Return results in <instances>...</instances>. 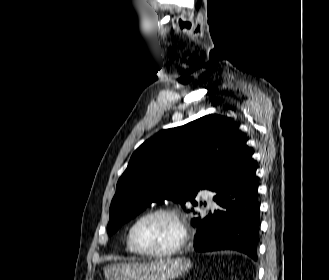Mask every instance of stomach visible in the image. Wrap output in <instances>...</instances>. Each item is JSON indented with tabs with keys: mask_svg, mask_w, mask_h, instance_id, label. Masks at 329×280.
<instances>
[{
	"mask_svg": "<svg viewBox=\"0 0 329 280\" xmlns=\"http://www.w3.org/2000/svg\"><path fill=\"white\" fill-rule=\"evenodd\" d=\"M189 259H159L150 262H122L104 268L106 280H173L186 273Z\"/></svg>",
	"mask_w": 329,
	"mask_h": 280,
	"instance_id": "stomach-1",
	"label": "stomach"
}]
</instances>
